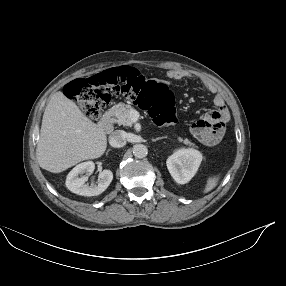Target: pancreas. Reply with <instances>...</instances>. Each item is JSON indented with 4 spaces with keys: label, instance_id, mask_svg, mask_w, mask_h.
Instances as JSON below:
<instances>
[{
    "label": "pancreas",
    "instance_id": "1",
    "mask_svg": "<svg viewBox=\"0 0 286 286\" xmlns=\"http://www.w3.org/2000/svg\"><path fill=\"white\" fill-rule=\"evenodd\" d=\"M133 110L131 105L125 103H118L114 105L111 109L112 115L114 116V121L123 126L131 127L133 124V119L131 111ZM179 142H183L186 145H193L188 139L178 138Z\"/></svg>",
    "mask_w": 286,
    "mask_h": 286
}]
</instances>
